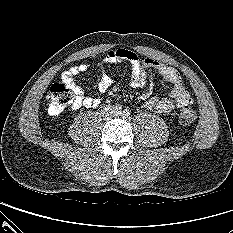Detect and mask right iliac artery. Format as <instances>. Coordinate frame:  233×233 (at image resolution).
<instances>
[{
    "instance_id": "obj_1",
    "label": "right iliac artery",
    "mask_w": 233,
    "mask_h": 233,
    "mask_svg": "<svg viewBox=\"0 0 233 233\" xmlns=\"http://www.w3.org/2000/svg\"><path fill=\"white\" fill-rule=\"evenodd\" d=\"M121 110H122V107H121L120 105L115 106V111H116L117 113H120Z\"/></svg>"
}]
</instances>
